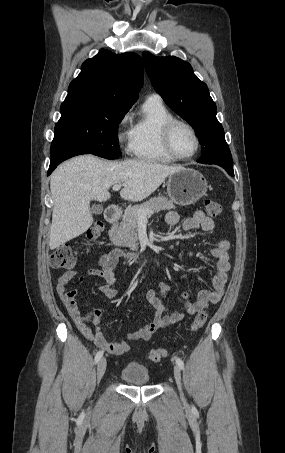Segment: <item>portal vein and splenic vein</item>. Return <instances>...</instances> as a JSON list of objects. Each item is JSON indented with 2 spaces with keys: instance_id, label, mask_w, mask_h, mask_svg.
<instances>
[{
  "instance_id": "obj_1",
  "label": "portal vein and splenic vein",
  "mask_w": 285,
  "mask_h": 453,
  "mask_svg": "<svg viewBox=\"0 0 285 453\" xmlns=\"http://www.w3.org/2000/svg\"><path fill=\"white\" fill-rule=\"evenodd\" d=\"M122 186H123L122 184H115V185H113V190L118 191V190L121 189ZM137 213H138L140 218L145 219L147 217V215H151L154 212L153 211H148L147 212V211H144V210H138Z\"/></svg>"
}]
</instances>
